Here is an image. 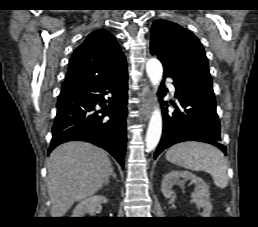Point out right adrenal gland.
<instances>
[{"label":"right adrenal gland","instance_id":"2a0ac1e0","mask_svg":"<svg viewBox=\"0 0 258 227\" xmlns=\"http://www.w3.org/2000/svg\"><path fill=\"white\" fill-rule=\"evenodd\" d=\"M110 175H111L114 179H116V174L114 173L113 168H111V170H110ZM108 184H109V180H107V181L105 182V185H108Z\"/></svg>","mask_w":258,"mask_h":227}]
</instances>
